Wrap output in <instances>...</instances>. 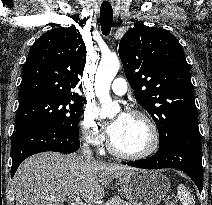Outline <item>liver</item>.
Wrapping results in <instances>:
<instances>
[{"label":"liver","instance_id":"liver-1","mask_svg":"<svg viewBox=\"0 0 212 205\" xmlns=\"http://www.w3.org/2000/svg\"><path fill=\"white\" fill-rule=\"evenodd\" d=\"M133 170L83 156L42 152L24 160L14 176L16 205H63L75 196L96 202L114 178Z\"/></svg>","mask_w":212,"mask_h":205}]
</instances>
